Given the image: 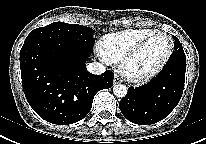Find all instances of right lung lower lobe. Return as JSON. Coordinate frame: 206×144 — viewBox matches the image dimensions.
Wrapping results in <instances>:
<instances>
[{
	"mask_svg": "<svg viewBox=\"0 0 206 144\" xmlns=\"http://www.w3.org/2000/svg\"><path fill=\"white\" fill-rule=\"evenodd\" d=\"M91 52L45 38L24 42L20 51L23 90L42 119L58 125L78 122L89 113L95 94L113 86L111 71L99 76L87 71Z\"/></svg>",
	"mask_w": 206,
	"mask_h": 144,
	"instance_id": "obj_1",
	"label": "right lung lower lobe"
}]
</instances>
